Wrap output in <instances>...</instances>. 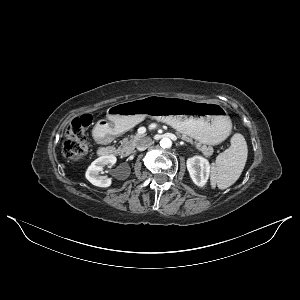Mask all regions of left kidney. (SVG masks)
I'll return each mask as SVG.
<instances>
[{"instance_id": "left-kidney-1", "label": "left kidney", "mask_w": 300, "mask_h": 300, "mask_svg": "<svg viewBox=\"0 0 300 300\" xmlns=\"http://www.w3.org/2000/svg\"><path fill=\"white\" fill-rule=\"evenodd\" d=\"M210 163L202 156H194L187 160V169L193 182L204 187L210 174Z\"/></svg>"}]
</instances>
